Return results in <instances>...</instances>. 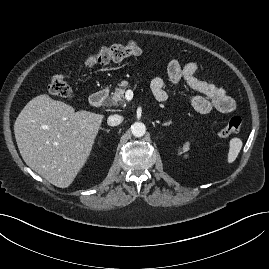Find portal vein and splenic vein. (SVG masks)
Returning a JSON list of instances; mask_svg holds the SVG:
<instances>
[{
  "instance_id": "obj_1",
  "label": "portal vein and splenic vein",
  "mask_w": 269,
  "mask_h": 269,
  "mask_svg": "<svg viewBox=\"0 0 269 269\" xmlns=\"http://www.w3.org/2000/svg\"><path fill=\"white\" fill-rule=\"evenodd\" d=\"M132 96H133V92H132L131 90H127V91L125 92V98H126L127 100H130V99L132 98Z\"/></svg>"
}]
</instances>
